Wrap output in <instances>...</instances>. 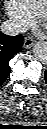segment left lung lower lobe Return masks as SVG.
I'll use <instances>...</instances> for the list:
<instances>
[{
	"label": "left lung lower lobe",
	"mask_w": 47,
	"mask_h": 129,
	"mask_svg": "<svg viewBox=\"0 0 47 129\" xmlns=\"http://www.w3.org/2000/svg\"><path fill=\"white\" fill-rule=\"evenodd\" d=\"M45 79H46V83H47V70L45 71Z\"/></svg>",
	"instance_id": "left-lung-lower-lobe-1"
}]
</instances>
